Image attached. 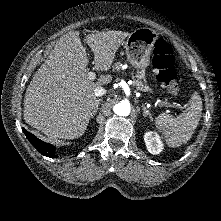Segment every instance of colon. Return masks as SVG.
Masks as SVG:
<instances>
[{
	"instance_id": "5ec220e1",
	"label": "colon",
	"mask_w": 221,
	"mask_h": 221,
	"mask_svg": "<svg viewBox=\"0 0 221 221\" xmlns=\"http://www.w3.org/2000/svg\"><path fill=\"white\" fill-rule=\"evenodd\" d=\"M174 65L175 58L171 45L165 39L156 40L153 48V66L156 70V77L172 96H177L179 85Z\"/></svg>"
}]
</instances>
